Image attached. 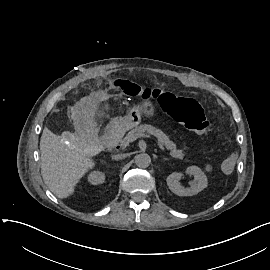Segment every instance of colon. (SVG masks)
<instances>
[{"instance_id":"1","label":"colon","mask_w":270,"mask_h":270,"mask_svg":"<svg viewBox=\"0 0 270 270\" xmlns=\"http://www.w3.org/2000/svg\"><path fill=\"white\" fill-rule=\"evenodd\" d=\"M119 82V87L126 96L132 98L142 97L149 102L156 100L164 114L170 116L185 128L198 133H205L211 128V122L206 119L197 101L182 97L171 91L143 88L132 81L120 80ZM234 165V158L226 156L220 162L219 169L223 173H228L233 169Z\"/></svg>"}]
</instances>
